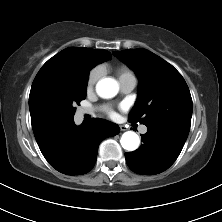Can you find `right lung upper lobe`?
Instances as JSON below:
<instances>
[{"instance_id": "obj_1", "label": "right lung upper lobe", "mask_w": 222, "mask_h": 222, "mask_svg": "<svg viewBox=\"0 0 222 222\" xmlns=\"http://www.w3.org/2000/svg\"><path fill=\"white\" fill-rule=\"evenodd\" d=\"M111 59L110 52L104 49H89L84 47H69L49 59L36 75L29 96V108L32 128L35 137L41 134L49 123H38L36 116V99L40 88L47 83L52 74L67 65L78 63L90 64L93 67L103 61Z\"/></svg>"}]
</instances>
